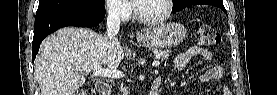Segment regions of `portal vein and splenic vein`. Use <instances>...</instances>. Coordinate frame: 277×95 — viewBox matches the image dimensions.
Listing matches in <instances>:
<instances>
[{"label":"portal vein and splenic vein","mask_w":277,"mask_h":95,"mask_svg":"<svg viewBox=\"0 0 277 95\" xmlns=\"http://www.w3.org/2000/svg\"><path fill=\"white\" fill-rule=\"evenodd\" d=\"M152 65L154 67H157L160 65V62L158 60H154ZM93 75L100 76V77H106V78H122V77H124L123 72L117 71V70L104 69L100 65H96L94 67Z\"/></svg>","instance_id":"obj_1"}]
</instances>
